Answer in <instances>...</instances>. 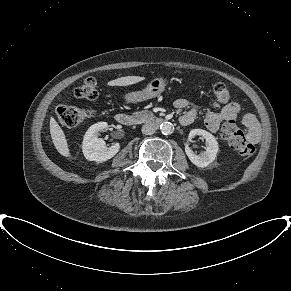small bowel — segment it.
Returning <instances> with one entry per match:
<instances>
[{"mask_svg":"<svg viewBox=\"0 0 291 291\" xmlns=\"http://www.w3.org/2000/svg\"><path fill=\"white\" fill-rule=\"evenodd\" d=\"M174 107L177 109H187L180 117V123L182 125H190L196 118V109L191 107L190 103L183 98L177 99L174 102ZM240 110V106L231 102L226 104L220 110H212L206 114L205 117V126L206 128L212 132L216 133L219 131L221 124L229 119L235 120ZM242 123L246 128L248 140L252 143H257L260 139V126L256 118L247 114L243 117Z\"/></svg>","mask_w":291,"mask_h":291,"instance_id":"1","label":"small bowel"}]
</instances>
